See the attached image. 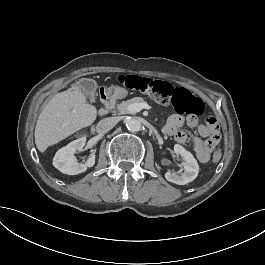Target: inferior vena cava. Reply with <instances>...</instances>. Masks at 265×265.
Segmentation results:
<instances>
[{"instance_id": "inferior-vena-cava-1", "label": "inferior vena cava", "mask_w": 265, "mask_h": 265, "mask_svg": "<svg viewBox=\"0 0 265 265\" xmlns=\"http://www.w3.org/2000/svg\"><path fill=\"white\" fill-rule=\"evenodd\" d=\"M117 124V119L114 117H108L98 122L96 130L98 133L104 134L111 130Z\"/></svg>"}]
</instances>
